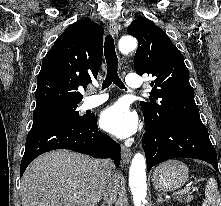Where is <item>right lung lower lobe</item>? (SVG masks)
Returning <instances> with one entry per match:
<instances>
[{"instance_id":"obj_1","label":"right lung lower lobe","mask_w":221,"mask_h":206,"mask_svg":"<svg viewBox=\"0 0 221 206\" xmlns=\"http://www.w3.org/2000/svg\"><path fill=\"white\" fill-rule=\"evenodd\" d=\"M55 149H69L96 158H112L116 167L120 164L119 144L98 131L97 118L93 115L84 122H57L32 127L26 140L20 177L37 156Z\"/></svg>"}]
</instances>
